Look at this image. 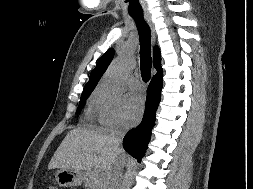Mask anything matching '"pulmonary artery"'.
<instances>
[{
  "instance_id": "1",
  "label": "pulmonary artery",
  "mask_w": 253,
  "mask_h": 189,
  "mask_svg": "<svg viewBox=\"0 0 253 189\" xmlns=\"http://www.w3.org/2000/svg\"><path fill=\"white\" fill-rule=\"evenodd\" d=\"M130 85L133 89H139L141 86L140 81L137 77L131 79Z\"/></svg>"
}]
</instances>
